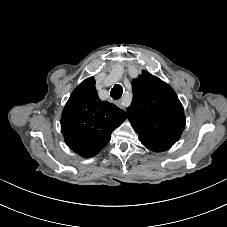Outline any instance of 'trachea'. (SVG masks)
I'll return each mask as SVG.
<instances>
[{"label": "trachea", "instance_id": "3493384b", "mask_svg": "<svg viewBox=\"0 0 227 227\" xmlns=\"http://www.w3.org/2000/svg\"><path fill=\"white\" fill-rule=\"evenodd\" d=\"M122 93H123L122 86L117 84L111 89L110 95L114 100H118L121 98Z\"/></svg>", "mask_w": 227, "mask_h": 227}]
</instances>
